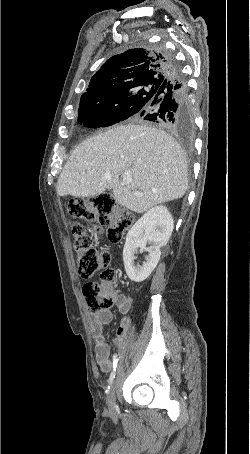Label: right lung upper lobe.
Wrapping results in <instances>:
<instances>
[{"mask_svg": "<svg viewBox=\"0 0 250 454\" xmlns=\"http://www.w3.org/2000/svg\"><path fill=\"white\" fill-rule=\"evenodd\" d=\"M170 72L169 61L162 51L149 48L127 50L111 57L96 72L81 96L80 105L117 99L149 83L161 86Z\"/></svg>", "mask_w": 250, "mask_h": 454, "instance_id": "cb5924a9", "label": "right lung upper lobe"}]
</instances>
